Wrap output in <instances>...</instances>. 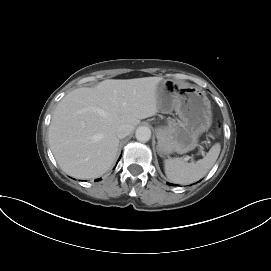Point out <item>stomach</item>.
Returning <instances> with one entry per match:
<instances>
[{"label":"stomach","mask_w":271,"mask_h":271,"mask_svg":"<svg viewBox=\"0 0 271 271\" xmlns=\"http://www.w3.org/2000/svg\"><path fill=\"white\" fill-rule=\"evenodd\" d=\"M158 108L163 113L175 111L178 120L156 129L160 154H183L193 150L199 137L212 125L211 102L205 91L174 81L163 80L156 90Z\"/></svg>","instance_id":"stomach-1"}]
</instances>
